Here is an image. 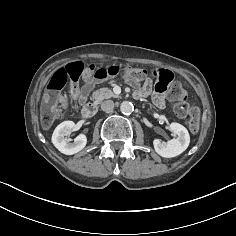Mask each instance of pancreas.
<instances>
[{"instance_id":"obj_1","label":"pancreas","mask_w":236,"mask_h":236,"mask_svg":"<svg viewBox=\"0 0 236 236\" xmlns=\"http://www.w3.org/2000/svg\"><path fill=\"white\" fill-rule=\"evenodd\" d=\"M112 97L116 98L117 95L109 88H100L92 93V100L95 105L101 103L104 99Z\"/></svg>"}]
</instances>
